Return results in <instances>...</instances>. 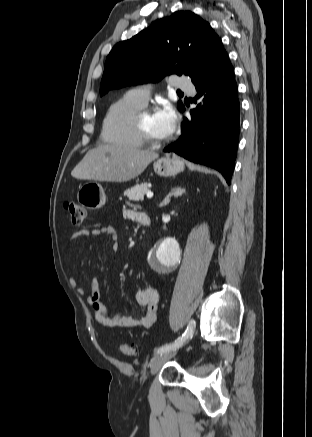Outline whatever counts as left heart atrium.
Masks as SVG:
<instances>
[{"instance_id":"left-heart-atrium-1","label":"left heart atrium","mask_w":312,"mask_h":437,"mask_svg":"<svg viewBox=\"0 0 312 437\" xmlns=\"http://www.w3.org/2000/svg\"><path fill=\"white\" fill-rule=\"evenodd\" d=\"M155 118L160 130L166 136H169L173 133L177 123V116L174 109L170 105H165L163 108L157 111L155 113Z\"/></svg>"}]
</instances>
